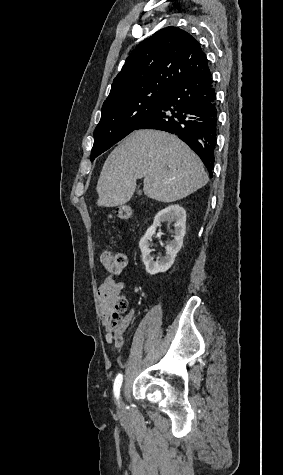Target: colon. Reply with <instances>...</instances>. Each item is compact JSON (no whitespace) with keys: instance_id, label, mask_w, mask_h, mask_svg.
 Instances as JSON below:
<instances>
[{"instance_id":"1","label":"colon","mask_w":283,"mask_h":475,"mask_svg":"<svg viewBox=\"0 0 283 475\" xmlns=\"http://www.w3.org/2000/svg\"><path fill=\"white\" fill-rule=\"evenodd\" d=\"M132 215V207L128 204L121 205L117 208L116 213L112 216H118L121 219H128ZM100 260L107 273L111 276H119L125 267V255L122 252H111L104 250L100 254ZM129 302L121 294L115 301L114 309H120L122 315L128 312Z\"/></svg>"}]
</instances>
